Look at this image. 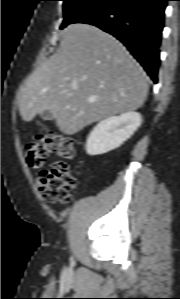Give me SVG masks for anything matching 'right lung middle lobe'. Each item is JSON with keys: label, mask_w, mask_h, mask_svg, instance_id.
I'll use <instances>...</instances> for the list:
<instances>
[{"label": "right lung middle lobe", "mask_w": 180, "mask_h": 299, "mask_svg": "<svg viewBox=\"0 0 180 299\" xmlns=\"http://www.w3.org/2000/svg\"><path fill=\"white\" fill-rule=\"evenodd\" d=\"M64 21L60 27L63 29L68 24L73 23L82 14L97 5L103 0H63Z\"/></svg>", "instance_id": "obj_1"}]
</instances>
